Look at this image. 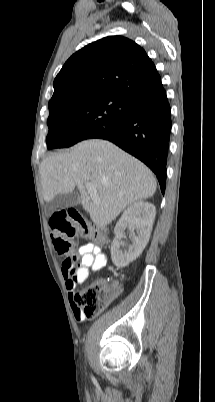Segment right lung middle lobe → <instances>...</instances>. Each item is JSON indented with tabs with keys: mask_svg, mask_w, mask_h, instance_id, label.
I'll return each instance as SVG.
<instances>
[{
	"mask_svg": "<svg viewBox=\"0 0 215 402\" xmlns=\"http://www.w3.org/2000/svg\"><path fill=\"white\" fill-rule=\"evenodd\" d=\"M131 102L110 94L51 100L47 121L48 149L69 147L109 129L124 118Z\"/></svg>",
	"mask_w": 215,
	"mask_h": 402,
	"instance_id": "dd1d6c3e",
	"label": "right lung middle lobe"
}]
</instances>
